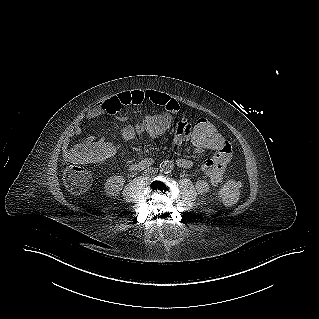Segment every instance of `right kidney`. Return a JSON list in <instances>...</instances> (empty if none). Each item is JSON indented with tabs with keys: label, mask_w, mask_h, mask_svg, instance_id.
I'll return each mask as SVG.
<instances>
[{
	"label": "right kidney",
	"mask_w": 319,
	"mask_h": 319,
	"mask_svg": "<svg viewBox=\"0 0 319 319\" xmlns=\"http://www.w3.org/2000/svg\"><path fill=\"white\" fill-rule=\"evenodd\" d=\"M125 179L122 176H111L105 182V192L109 197L117 196L123 189Z\"/></svg>",
	"instance_id": "obj_1"
}]
</instances>
